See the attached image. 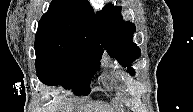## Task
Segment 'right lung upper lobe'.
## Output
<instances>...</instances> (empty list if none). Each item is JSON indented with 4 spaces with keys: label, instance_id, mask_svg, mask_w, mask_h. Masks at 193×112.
Returning <instances> with one entry per match:
<instances>
[{
    "label": "right lung upper lobe",
    "instance_id": "obj_1",
    "mask_svg": "<svg viewBox=\"0 0 193 112\" xmlns=\"http://www.w3.org/2000/svg\"><path fill=\"white\" fill-rule=\"evenodd\" d=\"M37 37H67L102 49L94 11L87 0H53L38 23Z\"/></svg>",
    "mask_w": 193,
    "mask_h": 112
}]
</instances>
